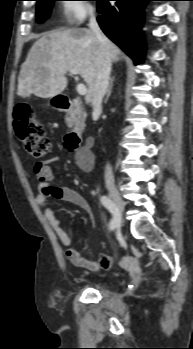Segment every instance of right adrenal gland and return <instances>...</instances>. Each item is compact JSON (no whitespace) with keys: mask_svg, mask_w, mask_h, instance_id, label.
I'll use <instances>...</instances> for the list:
<instances>
[{"mask_svg":"<svg viewBox=\"0 0 193 349\" xmlns=\"http://www.w3.org/2000/svg\"><path fill=\"white\" fill-rule=\"evenodd\" d=\"M113 82H114V77H112V78L110 79V85H109V87H108V89H107V94H106V98H105V100H104V103H106V102L108 101V99H109V97H110V95H111L112 87H113Z\"/></svg>","mask_w":193,"mask_h":349,"instance_id":"1","label":"right adrenal gland"}]
</instances>
